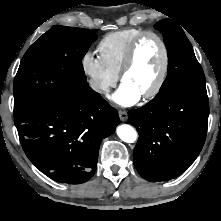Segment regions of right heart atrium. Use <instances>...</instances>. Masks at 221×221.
<instances>
[{"instance_id": "right-heart-atrium-1", "label": "right heart atrium", "mask_w": 221, "mask_h": 221, "mask_svg": "<svg viewBox=\"0 0 221 221\" xmlns=\"http://www.w3.org/2000/svg\"><path fill=\"white\" fill-rule=\"evenodd\" d=\"M81 67L88 78L89 86L99 95L106 94L118 80V75L107 67L100 56L92 52L83 55Z\"/></svg>"}]
</instances>
